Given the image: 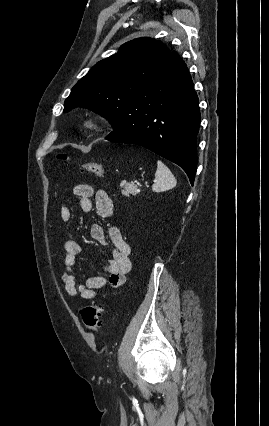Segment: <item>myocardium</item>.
Listing matches in <instances>:
<instances>
[{
  "instance_id": "1",
  "label": "myocardium",
  "mask_w": 269,
  "mask_h": 426,
  "mask_svg": "<svg viewBox=\"0 0 269 426\" xmlns=\"http://www.w3.org/2000/svg\"><path fill=\"white\" fill-rule=\"evenodd\" d=\"M103 125V119L99 116H89L84 122V127L89 131L99 129Z\"/></svg>"
}]
</instances>
